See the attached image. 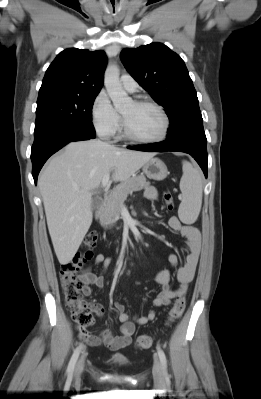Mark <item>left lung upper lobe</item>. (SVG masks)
<instances>
[{
	"label": "left lung upper lobe",
	"mask_w": 261,
	"mask_h": 399,
	"mask_svg": "<svg viewBox=\"0 0 261 399\" xmlns=\"http://www.w3.org/2000/svg\"><path fill=\"white\" fill-rule=\"evenodd\" d=\"M121 61L127 71L166 110L167 139L203 130L198 98L184 61L162 43L125 48Z\"/></svg>",
	"instance_id": "1"
}]
</instances>
